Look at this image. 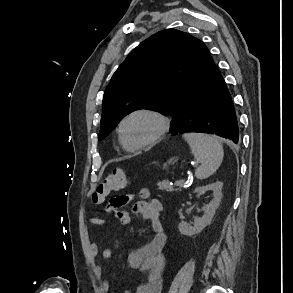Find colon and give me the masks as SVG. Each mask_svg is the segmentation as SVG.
<instances>
[{
	"label": "colon",
	"mask_w": 293,
	"mask_h": 293,
	"mask_svg": "<svg viewBox=\"0 0 293 293\" xmlns=\"http://www.w3.org/2000/svg\"><path fill=\"white\" fill-rule=\"evenodd\" d=\"M128 183V174L122 169H114L103 177L96 188L93 198L95 201L100 202L113 192L125 188Z\"/></svg>",
	"instance_id": "5ec220e1"
}]
</instances>
